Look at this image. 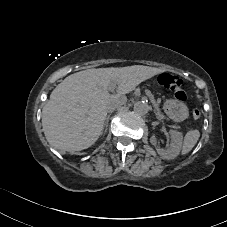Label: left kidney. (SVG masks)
Returning <instances> with one entry per match:
<instances>
[{"label": "left kidney", "mask_w": 227, "mask_h": 227, "mask_svg": "<svg viewBox=\"0 0 227 227\" xmlns=\"http://www.w3.org/2000/svg\"><path fill=\"white\" fill-rule=\"evenodd\" d=\"M169 134L171 135L172 140L170 148L167 150L157 149V152L161 156V158L166 160L175 159L179 155L183 141V135L181 132H178L176 130H170ZM150 142L152 144H156L155 136H152L150 138Z\"/></svg>", "instance_id": "5707ae66"}]
</instances>
